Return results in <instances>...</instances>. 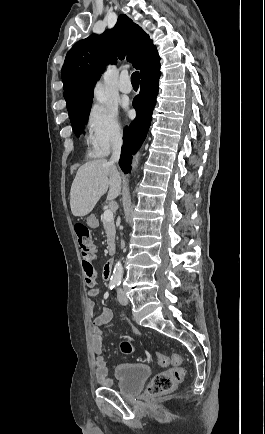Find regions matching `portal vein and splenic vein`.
<instances>
[{"instance_id":"portal-vein-and-splenic-vein-1","label":"portal vein and splenic vein","mask_w":265,"mask_h":434,"mask_svg":"<svg viewBox=\"0 0 265 434\" xmlns=\"http://www.w3.org/2000/svg\"><path fill=\"white\" fill-rule=\"evenodd\" d=\"M103 220H105V222H112V220H114L113 212H111V210H105Z\"/></svg>"}]
</instances>
